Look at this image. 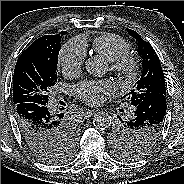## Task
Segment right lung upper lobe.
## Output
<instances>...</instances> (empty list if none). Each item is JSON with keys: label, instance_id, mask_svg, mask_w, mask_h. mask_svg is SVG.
<instances>
[{"label": "right lung upper lobe", "instance_id": "1", "mask_svg": "<svg viewBox=\"0 0 184 184\" xmlns=\"http://www.w3.org/2000/svg\"><path fill=\"white\" fill-rule=\"evenodd\" d=\"M55 36H61V35L57 34V35L42 36V37L38 38L37 40H35L27 49H33V48L45 49L49 45L52 38Z\"/></svg>", "mask_w": 184, "mask_h": 184}]
</instances>
